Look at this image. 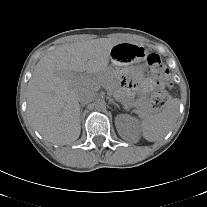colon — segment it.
Returning <instances> with one entry per match:
<instances>
[{"mask_svg": "<svg viewBox=\"0 0 207 207\" xmlns=\"http://www.w3.org/2000/svg\"><path fill=\"white\" fill-rule=\"evenodd\" d=\"M148 71L151 78L156 82L157 89L152 95V105L157 111L163 110L169 103V95L166 88L171 86L168 79V69L161 57L156 53H151L147 57Z\"/></svg>", "mask_w": 207, "mask_h": 207, "instance_id": "obj_1", "label": "colon"}]
</instances>
